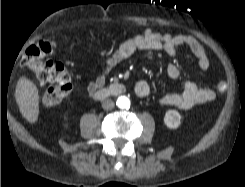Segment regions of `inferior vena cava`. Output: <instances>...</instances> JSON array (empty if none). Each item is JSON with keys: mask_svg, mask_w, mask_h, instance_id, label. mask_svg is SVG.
Masks as SVG:
<instances>
[{"mask_svg": "<svg viewBox=\"0 0 245 187\" xmlns=\"http://www.w3.org/2000/svg\"><path fill=\"white\" fill-rule=\"evenodd\" d=\"M114 106H115V103H114V101L111 100V99H107V100H104V101L102 102V108H103L104 110H106V111L112 110V109L114 108Z\"/></svg>", "mask_w": 245, "mask_h": 187, "instance_id": "obj_1", "label": "inferior vena cava"}]
</instances>
